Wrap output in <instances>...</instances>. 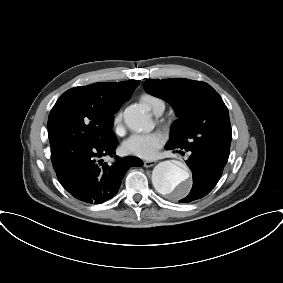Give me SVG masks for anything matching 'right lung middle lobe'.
<instances>
[{"instance_id":"right-lung-middle-lobe-1","label":"right lung middle lobe","mask_w":283,"mask_h":283,"mask_svg":"<svg viewBox=\"0 0 283 283\" xmlns=\"http://www.w3.org/2000/svg\"><path fill=\"white\" fill-rule=\"evenodd\" d=\"M113 114H103L72 88L63 93L48 118L51 152L74 149L80 144L106 146L116 140Z\"/></svg>"}]
</instances>
